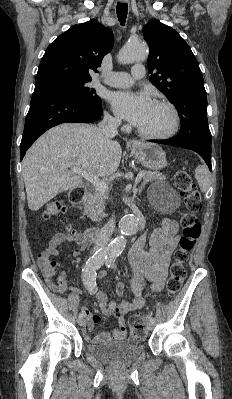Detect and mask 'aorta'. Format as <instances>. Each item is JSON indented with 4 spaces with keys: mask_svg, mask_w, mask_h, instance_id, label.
I'll return each mask as SVG.
<instances>
[{
    "mask_svg": "<svg viewBox=\"0 0 232 399\" xmlns=\"http://www.w3.org/2000/svg\"><path fill=\"white\" fill-rule=\"evenodd\" d=\"M147 57V46L142 42L127 43L119 52L118 60L122 64L142 61ZM139 217L134 214L125 215L119 222V228L123 236H129L137 232ZM123 236L115 238L103 253L108 256H119L126 247V241Z\"/></svg>",
    "mask_w": 232,
    "mask_h": 399,
    "instance_id": "762f6f07",
    "label": "aorta"
}]
</instances>
